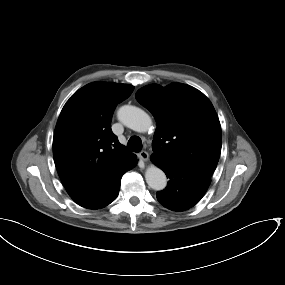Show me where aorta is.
<instances>
[{"instance_id": "762f6f07", "label": "aorta", "mask_w": 285, "mask_h": 285, "mask_svg": "<svg viewBox=\"0 0 285 285\" xmlns=\"http://www.w3.org/2000/svg\"><path fill=\"white\" fill-rule=\"evenodd\" d=\"M117 116L121 123L136 132H147L152 125L150 116L135 106H122L118 110ZM145 180L149 187L156 191L163 190L167 185L165 173L155 165H151L146 169Z\"/></svg>"}]
</instances>
